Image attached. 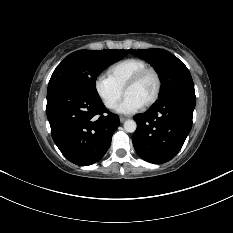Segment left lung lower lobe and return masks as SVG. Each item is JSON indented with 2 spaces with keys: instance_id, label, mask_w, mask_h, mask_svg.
I'll use <instances>...</instances> for the list:
<instances>
[{
  "instance_id": "obj_1",
  "label": "left lung lower lobe",
  "mask_w": 233,
  "mask_h": 233,
  "mask_svg": "<svg viewBox=\"0 0 233 233\" xmlns=\"http://www.w3.org/2000/svg\"><path fill=\"white\" fill-rule=\"evenodd\" d=\"M195 103L194 97L177 95L134 116L138 127L132 141L137 154L154 164L171 160L191 130Z\"/></svg>"
}]
</instances>
